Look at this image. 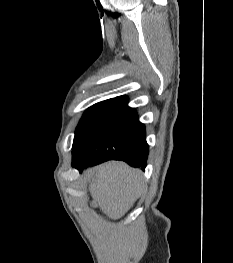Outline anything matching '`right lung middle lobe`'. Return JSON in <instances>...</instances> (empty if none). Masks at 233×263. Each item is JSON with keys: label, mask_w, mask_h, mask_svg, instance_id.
<instances>
[{"label": "right lung middle lobe", "mask_w": 233, "mask_h": 263, "mask_svg": "<svg viewBox=\"0 0 233 263\" xmlns=\"http://www.w3.org/2000/svg\"><path fill=\"white\" fill-rule=\"evenodd\" d=\"M117 99H108L88 108L76 128L74 141L85 136L105 116Z\"/></svg>", "instance_id": "dd1d6c3e"}]
</instances>
